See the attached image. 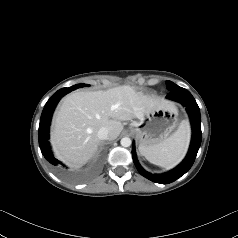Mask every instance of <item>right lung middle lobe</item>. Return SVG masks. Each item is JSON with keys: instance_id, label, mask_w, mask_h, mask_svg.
Returning <instances> with one entry per match:
<instances>
[{"instance_id": "dd1d6c3e", "label": "right lung middle lobe", "mask_w": 238, "mask_h": 238, "mask_svg": "<svg viewBox=\"0 0 238 238\" xmlns=\"http://www.w3.org/2000/svg\"><path fill=\"white\" fill-rule=\"evenodd\" d=\"M87 86H89L88 84H77V87H87Z\"/></svg>"}]
</instances>
